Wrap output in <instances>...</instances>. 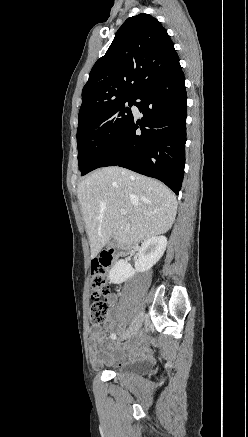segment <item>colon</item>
Segmentation results:
<instances>
[{"label": "colon", "mask_w": 248, "mask_h": 437, "mask_svg": "<svg viewBox=\"0 0 248 437\" xmlns=\"http://www.w3.org/2000/svg\"><path fill=\"white\" fill-rule=\"evenodd\" d=\"M109 265L110 263L108 260L101 255L91 261L90 318L94 325L105 324L109 319V310L105 299L106 294L108 293L107 268Z\"/></svg>", "instance_id": "obj_1"}]
</instances>
